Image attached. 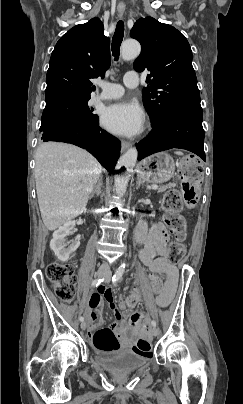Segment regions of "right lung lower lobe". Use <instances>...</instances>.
Listing matches in <instances>:
<instances>
[{
	"mask_svg": "<svg viewBox=\"0 0 243 404\" xmlns=\"http://www.w3.org/2000/svg\"><path fill=\"white\" fill-rule=\"evenodd\" d=\"M98 121L63 118L45 128L40 139L71 143L84 148L112 173L120 155L121 142L102 130Z\"/></svg>",
	"mask_w": 243,
	"mask_h": 404,
	"instance_id": "right-lung-lower-lobe-1",
	"label": "right lung lower lobe"
}]
</instances>
